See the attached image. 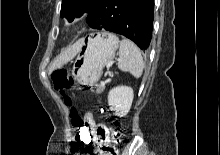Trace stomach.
<instances>
[{
	"instance_id": "stomach-1",
	"label": "stomach",
	"mask_w": 220,
	"mask_h": 155,
	"mask_svg": "<svg viewBox=\"0 0 220 155\" xmlns=\"http://www.w3.org/2000/svg\"><path fill=\"white\" fill-rule=\"evenodd\" d=\"M79 54L72 67L74 79L82 86H94L100 79L105 65L110 62L118 48V37L101 32L83 38Z\"/></svg>"
}]
</instances>
